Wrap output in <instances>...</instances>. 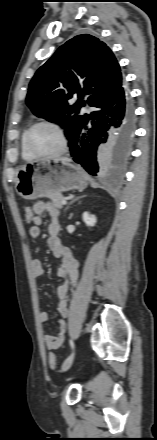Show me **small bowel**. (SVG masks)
Returning <instances> with one entry per match:
<instances>
[{
  "label": "small bowel",
  "instance_id": "1",
  "mask_svg": "<svg viewBox=\"0 0 157 440\" xmlns=\"http://www.w3.org/2000/svg\"><path fill=\"white\" fill-rule=\"evenodd\" d=\"M33 212L35 214V220L29 229V234L32 238H38L41 234L42 214L47 212L50 218V224L48 226V245L51 253L58 259L57 275L63 279V283L57 289L58 304L57 311L59 313V325L60 331L57 335H45L44 342L48 349H58L64 342L66 336V321L65 318L68 315V298L71 288L75 285L78 273L79 264L74 258L69 248L65 247L60 238L58 237L59 215L60 211L56 204L47 201H37L34 203ZM32 273L34 277H41L44 274L43 263L40 259H34L31 263ZM42 323L47 322L48 315L46 312H41L39 315Z\"/></svg>",
  "mask_w": 157,
  "mask_h": 440
}]
</instances>
